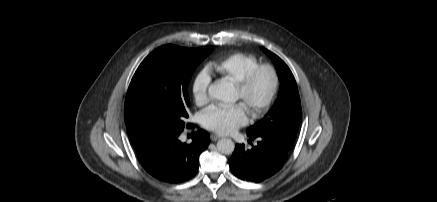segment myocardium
Instances as JSON below:
<instances>
[{
    "mask_svg": "<svg viewBox=\"0 0 437 202\" xmlns=\"http://www.w3.org/2000/svg\"><path fill=\"white\" fill-rule=\"evenodd\" d=\"M263 71L268 72V74L270 75L271 87H270L268 95L262 101H260L258 103L250 104L249 111H250V114L252 115V117H254V118H257V117H260L261 115H263L268 110V108L270 107V105L272 104V102L275 99V96H276L277 90H278V86H279V76H278L277 70L274 68V66L267 64V63L258 64L255 67H253L252 69H250L244 75V77L236 83L237 87L242 92L243 96L246 97L249 90L251 89V86H252L255 78L257 77V75L260 72H263Z\"/></svg>",
    "mask_w": 437,
    "mask_h": 202,
    "instance_id": "1",
    "label": "myocardium"
}]
</instances>
